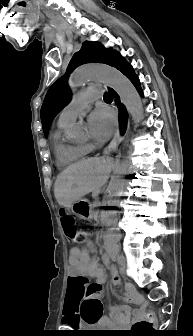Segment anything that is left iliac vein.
<instances>
[{
	"mask_svg": "<svg viewBox=\"0 0 193 336\" xmlns=\"http://www.w3.org/2000/svg\"><path fill=\"white\" fill-rule=\"evenodd\" d=\"M118 263H119V265L121 267V271L123 273H125L126 267H127V262H126V258L123 255L119 256Z\"/></svg>",
	"mask_w": 193,
	"mask_h": 336,
	"instance_id": "1",
	"label": "left iliac vein"
}]
</instances>
